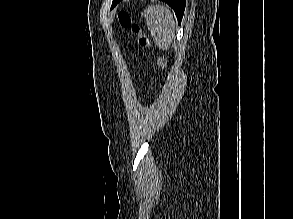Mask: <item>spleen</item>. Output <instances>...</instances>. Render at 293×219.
<instances>
[{
    "mask_svg": "<svg viewBox=\"0 0 293 219\" xmlns=\"http://www.w3.org/2000/svg\"><path fill=\"white\" fill-rule=\"evenodd\" d=\"M142 15L148 30L159 48L167 50L172 43L175 20L171 11L163 5L149 6Z\"/></svg>",
    "mask_w": 293,
    "mask_h": 219,
    "instance_id": "1",
    "label": "spleen"
}]
</instances>
